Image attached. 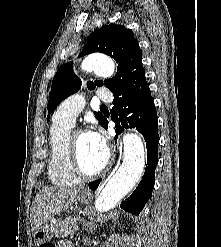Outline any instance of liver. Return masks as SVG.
<instances>
[{
    "mask_svg": "<svg viewBox=\"0 0 221 247\" xmlns=\"http://www.w3.org/2000/svg\"><path fill=\"white\" fill-rule=\"evenodd\" d=\"M80 189L65 187H43L36 195L31 208L32 231L53 216L66 210L76 202Z\"/></svg>",
    "mask_w": 221,
    "mask_h": 247,
    "instance_id": "6515ba94",
    "label": "liver"
}]
</instances>
